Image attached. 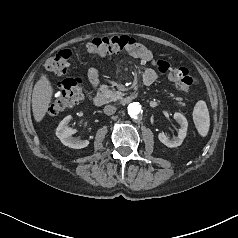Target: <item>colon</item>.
Wrapping results in <instances>:
<instances>
[{"label":"colon","instance_id":"1","mask_svg":"<svg viewBox=\"0 0 238 238\" xmlns=\"http://www.w3.org/2000/svg\"><path fill=\"white\" fill-rule=\"evenodd\" d=\"M141 46L145 52L152 53L148 46L137 42L132 37L105 36L96 37L87 42L83 47V51L89 55L103 56L113 53L134 52ZM71 56V50H61L46 61L45 68L57 75H65L70 69ZM150 62L156 66L161 73L167 74L179 91L185 95L192 94V87L195 84V80L186 67L177 65L171 59L160 58L153 55ZM83 97L84 89L82 78L78 76L67 78L62 82L59 90L52 96L48 113L57 115L79 103Z\"/></svg>","mask_w":238,"mask_h":238}]
</instances>
